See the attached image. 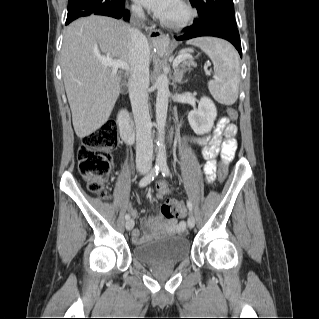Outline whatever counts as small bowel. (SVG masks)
<instances>
[{
	"label": "small bowel",
	"instance_id": "1",
	"mask_svg": "<svg viewBox=\"0 0 319 319\" xmlns=\"http://www.w3.org/2000/svg\"><path fill=\"white\" fill-rule=\"evenodd\" d=\"M237 127L235 124L231 123L228 117H222L218 120L214 134L212 137H195L192 138L194 144L202 148V156L206 159V163L203 167V171L208 182H213L216 179V162L215 156L220 151L222 159L229 163L235 153L237 147ZM225 136V139H223ZM168 191V187L165 183L159 184V197ZM181 206L183 213L181 216H185L186 207L184 203L180 200L175 199ZM127 210L132 214V216L137 215V211L133 208L131 204H128ZM143 228L145 231V236H141L138 229H135L132 233V241L136 244H140L146 241L148 238L155 235L157 232L171 231L184 233L186 231V224L184 221H161V220H147L143 222Z\"/></svg>",
	"mask_w": 319,
	"mask_h": 319
}]
</instances>
